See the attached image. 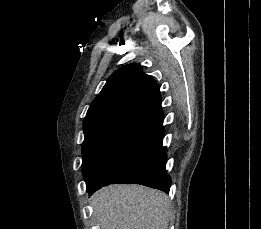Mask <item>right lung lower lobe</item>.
Returning a JSON list of instances; mask_svg holds the SVG:
<instances>
[{
	"label": "right lung lower lobe",
	"mask_w": 261,
	"mask_h": 229,
	"mask_svg": "<svg viewBox=\"0 0 261 229\" xmlns=\"http://www.w3.org/2000/svg\"><path fill=\"white\" fill-rule=\"evenodd\" d=\"M164 132L161 126L151 137L111 164L87 188L89 195L110 183L141 184L168 192L171 178L165 169L167 156L162 146Z\"/></svg>",
	"instance_id": "98d812e1"
}]
</instances>
